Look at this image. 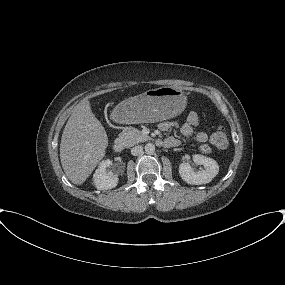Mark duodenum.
<instances>
[{"mask_svg": "<svg viewBox=\"0 0 285 285\" xmlns=\"http://www.w3.org/2000/svg\"><path fill=\"white\" fill-rule=\"evenodd\" d=\"M124 149V140L122 138L115 139L113 143V150L117 153L122 152Z\"/></svg>", "mask_w": 285, "mask_h": 285, "instance_id": "obj_1", "label": "duodenum"}]
</instances>
